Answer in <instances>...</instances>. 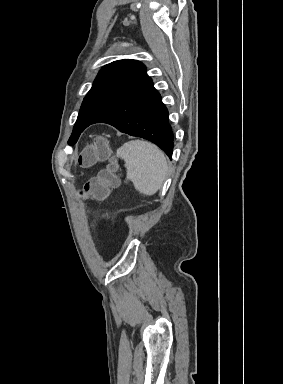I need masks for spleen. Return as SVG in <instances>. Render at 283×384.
Returning <instances> with one entry per match:
<instances>
[{"instance_id":"spleen-1","label":"spleen","mask_w":283,"mask_h":384,"mask_svg":"<svg viewBox=\"0 0 283 384\" xmlns=\"http://www.w3.org/2000/svg\"><path fill=\"white\" fill-rule=\"evenodd\" d=\"M116 156L124 160L127 178L133 182L139 194L153 196L162 188L168 164L160 148L150 142L132 140L118 148Z\"/></svg>"}]
</instances>
